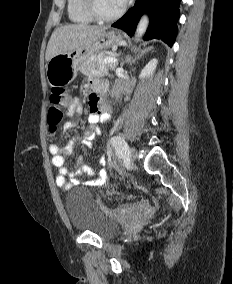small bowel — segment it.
Wrapping results in <instances>:
<instances>
[{"label":"small bowel","mask_w":233,"mask_h":284,"mask_svg":"<svg viewBox=\"0 0 233 284\" xmlns=\"http://www.w3.org/2000/svg\"><path fill=\"white\" fill-rule=\"evenodd\" d=\"M90 86L97 92L102 90V85L98 81H91ZM83 107L80 101L76 98H72L69 101L67 108V115L74 116L82 114ZM109 119L108 109L101 103L100 97L96 93H92L89 96V126L80 135L73 138L67 145L60 147L57 144H51L49 146V152L52 156V164L58 169L56 176V184L68 190L74 185H88V186H102L107 181V172L105 168L101 167L95 170L93 167L83 163L82 158H79L71 167L66 165V158L71 154L73 146L76 142L81 141L83 143L90 142L94 139L97 133L96 125L100 122H105ZM74 126V123L69 121L64 124V131L69 130ZM108 162V158L103 156L100 159L101 166H105ZM82 174H86L91 177L90 180L82 182L79 177Z\"/></svg>","instance_id":"obj_1"}]
</instances>
